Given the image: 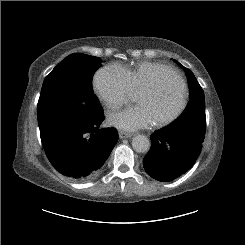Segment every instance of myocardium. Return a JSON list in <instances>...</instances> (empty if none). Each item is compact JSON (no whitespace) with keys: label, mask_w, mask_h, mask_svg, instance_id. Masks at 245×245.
Instances as JSON below:
<instances>
[{"label":"myocardium","mask_w":245,"mask_h":245,"mask_svg":"<svg viewBox=\"0 0 245 245\" xmlns=\"http://www.w3.org/2000/svg\"><path fill=\"white\" fill-rule=\"evenodd\" d=\"M164 75H172L177 80L181 88L182 102L179 108L173 114L155 122V124L158 127H166L174 123L176 120H178L181 117V115L184 113V111L186 110L188 102H189V93H188L187 84L185 83L182 76L176 70L172 68H168L167 70L162 71L158 75V77L164 76ZM161 90H162V86L154 83L152 85H149L143 88L139 93L158 94L161 92Z\"/></svg>","instance_id":"obj_1"}]
</instances>
